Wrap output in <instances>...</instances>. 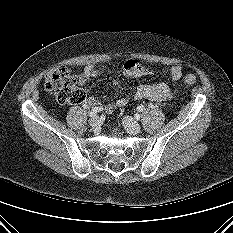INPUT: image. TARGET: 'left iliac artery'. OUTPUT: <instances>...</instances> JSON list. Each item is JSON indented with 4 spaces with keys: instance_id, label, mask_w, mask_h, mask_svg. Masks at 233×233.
<instances>
[{
    "instance_id": "1",
    "label": "left iliac artery",
    "mask_w": 233,
    "mask_h": 233,
    "mask_svg": "<svg viewBox=\"0 0 233 233\" xmlns=\"http://www.w3.org/2000/svg\"><path fill=\"white\" fill-rule=\"evenodd\" d=\"M152 107V106H151ZM145 109V107H144V105H139L138 107H137V110L139 111V112H142L143 110Z\"/></svg>"
}]
</instances>
